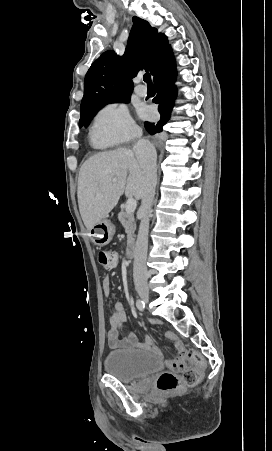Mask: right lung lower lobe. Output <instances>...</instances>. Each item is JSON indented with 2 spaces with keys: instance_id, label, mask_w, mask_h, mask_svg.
I'll return each instance as SVG.
<instances>
[{
  "instance_id": "98d812e1",
  "label": "right lung lower lobe",
  "mask_w": 272,
  "mask_h": 451,
  "mask_svg": "<svg viewBox=\"0 0 272 451\" xmlns=\"http://www.w3.org/2000/svg\"><path fill=\"white\" fill-rule=\"evenodd\" d=\"M176 64L174 57L170 58L154 75L153 80L157 90V96L153 102L159 104L160 120L155 123L145 122L146 130L151 134L163 131L164 126L170 119L174 100L177 96L176 86Z\"/></svg>"
}]
</instances>
